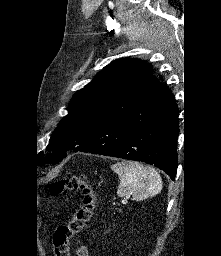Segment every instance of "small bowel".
<instances>
[{"instance_id":"small-bowel-1","label":"small bowel","mask_w":221,"mask_h":256,"mask_svg":"<svg viewBox=\"0 0 221 256\" xmlns=\"http://www.w3.org/2000/svg\"><path fill=\"white\" fill-rule=\"evenodd\" d=\"M76 254H77V256H89V251H88L87 247L80 246L76 249Z\"/></svg>"}]
</instances>
